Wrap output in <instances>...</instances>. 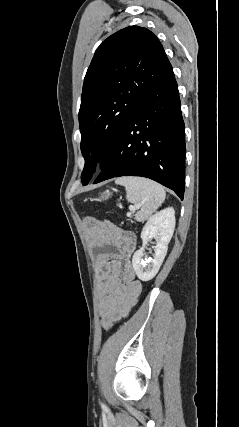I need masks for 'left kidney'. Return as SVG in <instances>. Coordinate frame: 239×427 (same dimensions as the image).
Returning <instances> with one entry per match:
<instances>
[{
  "mask_svg": "<svg viewBox=\"0 0 239 427\" xmlns=\"http://www.w3.org/2000/svg\"><path fill=\"white\" fill-rule=\"evenodd\" d=\"M175 223V211L169 207L154 214L143 227L141 232L143 246L134 253L132 258L133 268L140 280L149 281L158 273L173 236ZM153 238L156 240V245L153 247L154 259L144 261L142 258L145 246Z\"/></svg>",
  "mask_w": 239,
  "mask_h": 427,
  "instance_id": "obj_1",
  "label": "left kidney"
}]
</instances>
